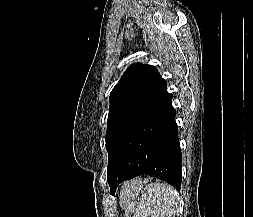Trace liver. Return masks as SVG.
I'll list each match as a JSON object with an SVG mask.
<instances>
[{
  "label": "liver",
  "instance_id": "6515ba94",
  "mask_svg": "<svg viewBox=\"0 0 253 217\" xmlns=\"http://www.w3.org/2000/svg\"><path fill=\"white\" fill-rule=\"evenodd\" d=\"M142 183L143 181L141 179H134L124 183L121 187L120 203L124 197H130L132 192L136 191L138 188H141Z\"/></svg>",
  "mask_w": 253,
  "mask_h": 217
}]
</instances>
